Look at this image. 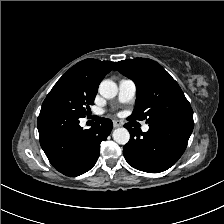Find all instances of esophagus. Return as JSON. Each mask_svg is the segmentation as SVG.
Instances as JSON below:
<instances>
[{"mask_svg":"<svg viewBox=\"0 0 224 224\" xmlns=\"http://www.w3.org/2000/svg\"><path fill=\"white\" fill-rule=\"evenodd\" d=\"M120 126H121V124L118 121H116V120L113 121V127L114 128H117V127H120Z\"/></svg>","mask_w":224,"mask_h":224,"instance_id":"obj_1","label":"esophagus"}]
</instances>
